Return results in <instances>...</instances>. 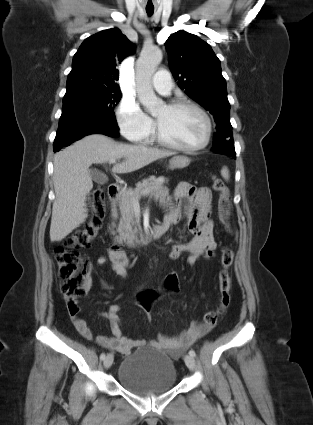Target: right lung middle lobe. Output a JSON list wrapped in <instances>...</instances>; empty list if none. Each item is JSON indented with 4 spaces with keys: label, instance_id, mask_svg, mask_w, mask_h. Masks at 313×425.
Wrapping results in <instances>:
<instances>
[{
    "label": "right lung middle lobe",
    "instance_id": "dd1d6c3e",
    "mask_svg": "<svg viewBox=\"0 0 313 425\" xmlns=\"http://www.w3.org/2000/svg\"><path fill=\"white\" fill-rule=\"evenodd\" d=\"M120 99L119 90H81L66 93L63 108L74 106L114 115V107Z\"/></svg>",
    "mask_w": 313,
    "mask_h": 425
}]
</instances>
